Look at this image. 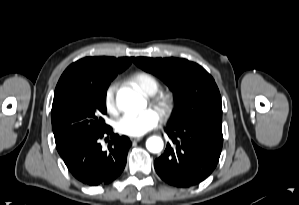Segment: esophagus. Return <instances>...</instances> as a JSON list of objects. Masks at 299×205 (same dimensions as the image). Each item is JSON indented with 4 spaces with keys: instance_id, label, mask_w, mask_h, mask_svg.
<instances>
[{
    "instance_id": "34e87169",
    "label": "esophagus",
    "mask_w": 299,
    "mask_h": 205,
    "mask_svg": "<svg viewBox=\"0 0 299 205\" xmlns=\"http://www.w3.org/2000/svg\"><path fill=\"white\" fill-rule=\"evenodd\" d=\"M142 139V137H130V140L132 142H135V141H140Z\"/></svg>"
}]
</instances>
